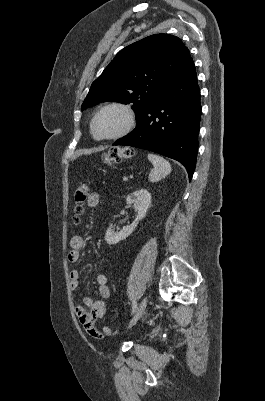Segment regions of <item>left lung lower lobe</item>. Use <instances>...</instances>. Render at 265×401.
<instances>
[{"label": "left lung lower lobe", "instance_id": "0a47b994", "mask_svg": "<svg viewBox=\"0 0 265 401\" xmlns=\"http://www.w3.org/2000/svg\"><path fill=\"white\" fill-rule=\"evenodd\" d=\"M201 104L194 62L140 116L136 128L113 145L133 146L179 161L191 180L198 151Z\"/></svg>", "mask_w": 265, "mask_h": 401}]
</instances>
